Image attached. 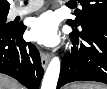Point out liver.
<instances>
[{
	"label": "liver",
	"instance_id": "liver-1",
	"mask_svg": "<svg viewBox=\"0 0 107 89\" xmlns=\"http://www.w3.org/2000/svg\"><path fill=\"white\" fill-rule=\"evenodd\" d=\"M0 89H24L16 80L6 76H0Z\"/></svg>",
	"mask_w": 107,
	"mask_h": 89
}]
</instances>
